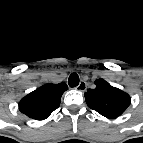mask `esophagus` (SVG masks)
<instances>
[{"label": "esophagus", "mask_w": 143, "mask_h": 143, "mask_svg": "<svg viewBox=\"0 0 143 143\" xmlns=\"http://www.w3.org/2000/svg\"><path fill=\"white\" fill-rule=\"evenodd\" d=\"M87 84L85 81L81 80L79 85L76 87L79 91H85Z\"/></svg>", "instance_id": "obj_1"}]
</instances>
